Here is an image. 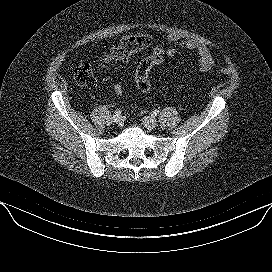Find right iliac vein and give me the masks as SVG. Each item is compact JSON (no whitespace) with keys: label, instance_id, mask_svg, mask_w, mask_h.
Segmentation results:
<instances>
[{"label":"right iliac vein","instance_id":"right-iliac-vein-1","mask_svg":"<svg viewBox=\"0 0 272 272\" xmlns=\"http://www.w3.org/2000/svg\"><path fill=\"white\" fill-rule=\"evenodd\" d=\"M112 120H113V122H114L115 124H119V123L122 121V118H121V116L114 115V116L112 117Z\"/></svg>","mask_w":272,"mask_h":272}]
</instances>
